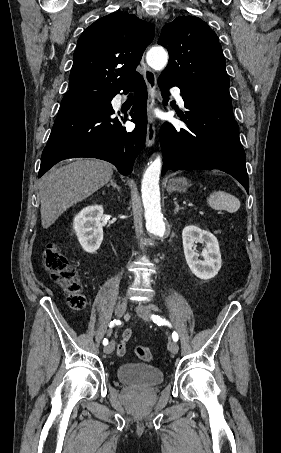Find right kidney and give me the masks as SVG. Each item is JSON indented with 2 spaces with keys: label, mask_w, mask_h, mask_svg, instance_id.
Wrapping results in <instances>:
<instances>
[{
  "label": "right kidney",
  "mask_w": 281,
  "mask_h": 453,
  "mask_svg": "<svg viewBox=\"0 0 281 453\" xmlns=\"http://www.w3.org/2000/svg\"><path fill=\"white\" fill-rule=\"evenodd\" d=\"M103 206H85L73 220L74 231L77 239L86 253H96L103 241Z\"/></svg>",
  "instance_id": "1"
}]
</instances>
